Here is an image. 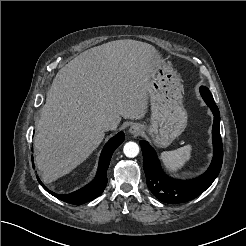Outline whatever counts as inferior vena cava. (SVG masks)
<instances>
[{
  "mask_svg": "<svg viewBox=\"0 0 246 246\" xmlns=\"http://www.w3.org/2000/svg\"><path fill=\"white\" fill-rule=\"evenodd\" d=\"M101 126L104 131L114 130L116 128L115 123L111 120L103 121Z\"/></svg>",
  "mask_w": 246,
  "mask_h": 246,
  "instance_id": "602c4592",
  "label": "inferior vena cava"
}]
</instances>
